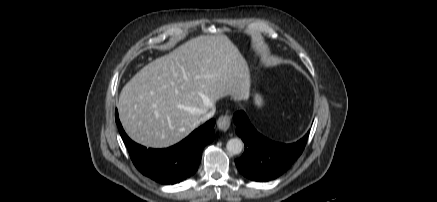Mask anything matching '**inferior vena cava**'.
<instances>
[{
    "instance_id": "inferior-vena-cava-1",
    "label": "inferior vena cava",
    "mask_w": 437,
    "mask_h": 202,
    "mask_svg": "<svg viewBox=\"0 0 437 202\" xmlns=\"http://www.w3.org/2000/svg\"><path fill=\"white\" fill-rule=\"evenodd\" d=\"M214 113H215V107L212 106L210 109H207L202 113L199 122L200 123L206 122L207 120L213 117Z\"/></svg>"
}]
</instances>
